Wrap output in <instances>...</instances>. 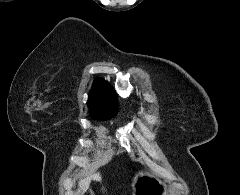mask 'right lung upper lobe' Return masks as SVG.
<instances>
[{
	"label": "right lung upper lobe",
	"instance_id": "1",
	"mask_svg": "<svg viewBox=\"0 0 240 195\" xmlns=\"http://www.w3.org/2000/svg\"><path fill=\"white\" fill-rule=\"evenodd\" d=\"M87 104L113 106L114 104H118L117 94L108 82L98 78L92 84Z\"/></svg>",
	"mask_w": 240,
	"mask_h": 195
}]
</instances>
